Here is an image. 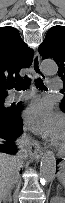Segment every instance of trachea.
<instances>
[{
  "label": "trachea",
  "mask_w": 65,
  "mask_h": 203,
  "mask_svg": "<svg viewBox=\"0 0 65 203\" xmlns=\"http://www.w3.org/2000/svg\"><path fill=\"white\" fill-rule=\"evenodd\" d=\"M30 84H31V80L25 79L22 83L14 85V88L18 91L26 90L30 86ZM35 85L40 90H47V88L43 84V81L40 78L36 80Z\"/></svg>",
  "instance_id": "obj_1"
}]
</instances>
